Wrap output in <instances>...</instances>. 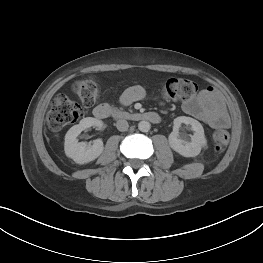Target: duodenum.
Wrapping results in <instances>:
<instances>
[{"label":"duodenum","instance_id":"obj_1","mask_svg":"<svg viewBox=\"0 0 263 263\" xmlns=\"http://www.w3.org/2000/svg\"><path fill=\"white\" fill-rule=\"evenodd\" d=\"M93 114L98 119H106L114 117L116 119L132 120V121H149L152 123L160 122L161 118L156 112H136L128 113L124 111L114 110L108 105H99L93 110Z\"/></svg>","mask_w":263,"mask_h":263}]
</instances>
